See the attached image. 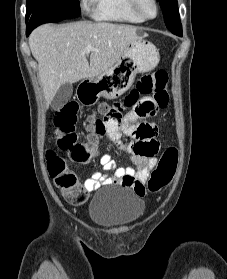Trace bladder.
Segmentation results:
<instances>
[{"label": "bladder", "instance_id": "1", "mask_svg": "<svg viewBox=\"0 0 227 279\" xmlns=\"http://www.w3.org/2000/svg\"><path fill=\"white\" fill-rule=\"evenodd\" d=\"M144 203L124 187L104 189L94 195L89 209V218L107 229H124L138 221Z\"/></svg>", "mask_w": 227, "mask_h": 279}]
</instances>
